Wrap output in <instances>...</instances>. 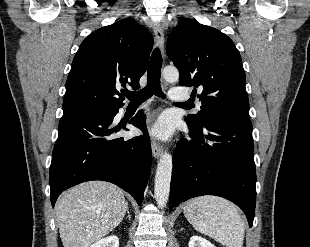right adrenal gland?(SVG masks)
Listing matches in <instances>:
<instances>
[{"instance_id": "1", "label": "right adrenal gland", "mask_w": 310, "mask_h": 247, "mask_svg": "<svg viewBox=\"0 0 310 247\" xmlns=\"http://www.w3.org/2000/svg\"><path fill=\"white\" fill-rule=\"evenodd\" d=\"M127 214H128L127 218L130 220L131 219V215H130V212H129L128 209H127Z\"/></svg>"}]
</instances>
